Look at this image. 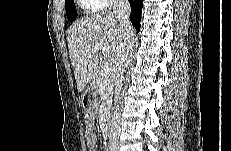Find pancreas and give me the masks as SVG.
Listing matches in <instances>:
<instances>
[{
	"mask_svg": "<svg viewBox=\"0 0 231 151\" xmlns=\"http://www.w3.org/2000/svg\"><path fill=\"white\" fill-rule=\"evenodd\" d=\"M95 88L99 90L103 97V103L108 104L113 95V74L110 72L107 75L101 73L100 68L96 71L93 78Z\"/></svg>",
	"mask_w": 231,
	"mask_h": 151,
	"instance_id": "1",
	"label": "pancreas"
}]
</instances>
